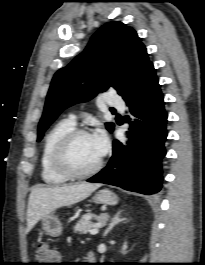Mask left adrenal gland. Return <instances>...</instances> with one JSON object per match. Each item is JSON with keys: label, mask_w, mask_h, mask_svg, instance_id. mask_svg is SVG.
<instances>
[{"label": "left adrenal gland", "mask_w": 205, "mask_h": 265, "mask_svg": "<svg viewBox=\"0 0 205 265\" xmlns=\"http://www.w3.org/2000/svg\"><path fill=\"white\" fill-rule=\"evenodd\" d=\"M122 210H119L111 219L107 229L105 230L103 237L107 236V234L120 222L126 220L125 218H120Z\"/></svg>", "instance_id": "obj_1"}]
</instances>
